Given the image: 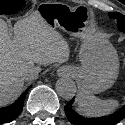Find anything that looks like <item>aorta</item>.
Listing matches in <instances>:
<instances>
[{
    "instance_id": "aorta-1",
    "label": "aorta",
    "mask_w": 125,
    "mask_h": 125,
    "mask_svg": "<svg viewBox=\"0 0 125 125\" xmlns=\"http://www.w3.org/2000/svg\"><path fill=\"white\" fill-rule=\"evenodd\" d=\"M57 93L64 99H71L75 96L76 85L70 78H61L56 83Z\"/></svg>"
}]
</instances>
